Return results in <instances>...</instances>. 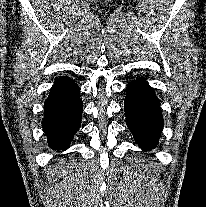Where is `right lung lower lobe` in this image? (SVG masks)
Returning a JSON list of instances; mask_svg holds the SVG:
<instances>
[{
    "instance_id": "1",
    "label": "right lung lower lobe",
    "mask_w": 206,
    "mask_h": 207,
    "mask_svg": "<svg viewBox=\"0 0 206 207\" xmlns=\"http://www.w3.org/2000/svg\"><path fill=\"white\" fill-rule=\"evenodd\" d=\"M83 103L76 83L60 77L52 86L44 103L42 127L48 146L56 151L69 147L81 125Z\"/></svg>"
}]
</instances>
